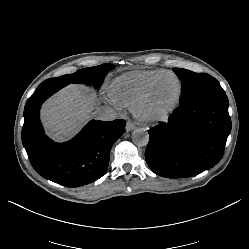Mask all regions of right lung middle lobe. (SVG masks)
<instances>
[{"label":"right lung middle lobe","instance_id":"dd1d6c3e","mask_svg":"<svg viewBox=\"0 0 249 249\" xmlns=\"http://www.w3.org/2000/svg\"><path fill=\"white\" fill-rule=\"evenodd\" d=\"M115 66L112 64H102L95 67L83 68L73 74L63 75L57 78H51L43 81L37 89L49 86H66L74 83H84L86 85H93L98 88L107 74Z\"/></svg>","mask_w":249,"mask_h":249}]
</instances>
